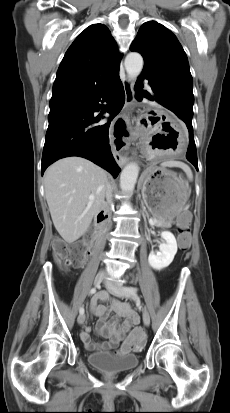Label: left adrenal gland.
<instances>
[{
  "label": "left adrenal gland",
  "mask_w": 230,
  "mask_h": 413,
  "mask_svg": "<svg viewBox=\"0 0 230 413\" xmlns=\"http://www.w3.org/2000/svg\"><path fill=\"white\" fill-rule=\"evenodd\" d=\"M142 207H143V211L146 213L147 218H149L148 213H147V211H146V208H145L144 205H143V202H142Z\"/></svg>",
  "instance_id": "a2214340"
}]
</instances>
